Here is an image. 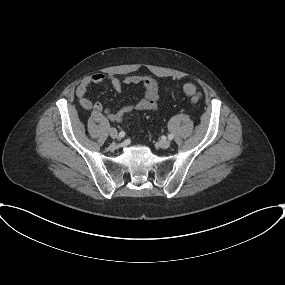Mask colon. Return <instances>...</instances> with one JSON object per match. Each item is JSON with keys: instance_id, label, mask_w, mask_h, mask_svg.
Here are the masks:
<instances>
[{"instance_id": "1", "label": "colon", "mask_w": 285, "mask_h": 285, "mask_svg": "<svg viewBox=\"0 0 285 285\" xmlns=\"http://www.w3.org/2000/svg\"><path fill=\"white\" fill-rule=\"evenodd\" d=\"M184 93L191 98L193 102H198L201 98V93L193 83H186L182 87Z\"/></svg>"}]
</instances>
